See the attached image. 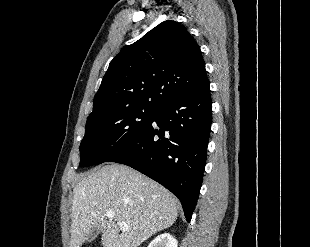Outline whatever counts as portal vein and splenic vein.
I'll return each instance as SVG.
<instances>
[{"instance_id":"portal-vein-and-splenic-vein-1","label":"portal vein and splenic vein","mask_w":310,"mask_h":247,"mask_svg":"<svg viewBox=\"0 0 310 247\" xmlns=\"http://www.w3.org/2000/svg\"><path fill=\"white\" fill-rule=\"evenodd\" d=\"M106 216H107L108 218H113V217L115 216V213H114V211H112V210H108V211L106 212ZM119 226H120V228H121L122 230H128V225H127V223H125V222H120V223H119Z\"/></svg>"}]
</instances>
